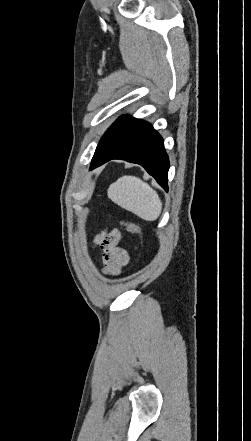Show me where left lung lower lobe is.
<instances>
[{"label": "left lung lower lobe", "instance_id": "left-lung-lower-lobe-1", "mask_svg": "<svg viewBox=\"0 0 251 441\" xmlns=\"http://www.w3.org/2000/svg\"><path fill=\"white\" fill-rule=\"evenodd\" d=\"M112 159L140 164L168 191L169 159L162 137L148 122L123 116L112 124L96 148L90 169Z\"/></svg>", "mask_w": 251, "mask_h": 441}]
</instances>
